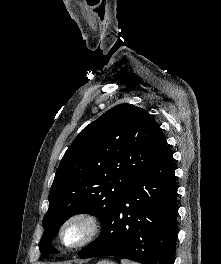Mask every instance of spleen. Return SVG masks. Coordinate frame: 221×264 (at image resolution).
Returning a JSON list of instances; mask_svg holds the SVG:
<instances>
[{
    "mask_svg": "<svg viewBox=\"0 0 221 264\" xmlns=\"http://www.w3.org/2000/svg\"><path fill=\"white\" fill-rule=\"evenodd\" d=\"M121 263H122V264H138V263H135V262L127 261V260H125V259H122V260H121Z\"/></svg>",
    "mask_w": 221,
    "mask_h": 264,
    "instance_id": "spleen-1",
    "label": "spleen"
}]
</instances>
